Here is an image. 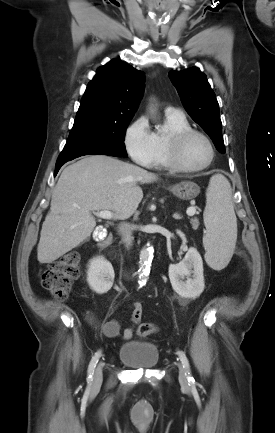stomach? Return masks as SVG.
Segmentation results:
<instances>
[{
	"label": "stomach",
	"mask_w": 275,
	"mask_h": 433,
	"mask_svg": "<svg viewBox=\"0 0 275 433\" xmlns=\"http://www.w3.org/2000/svg\"><path fill=\"white\" fill-rule=\"evenodd\" d=\"M170 191L179 199L191 200L198 196L200 187L191 181H183L170 188Z\"/></svg>",
	"instance_id": "obj_1"
}]
</instances>
